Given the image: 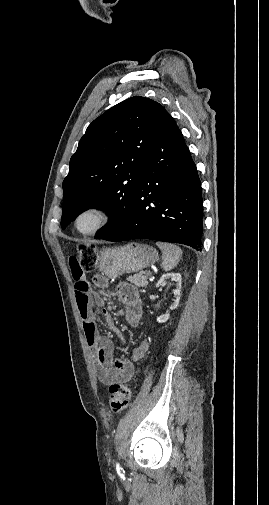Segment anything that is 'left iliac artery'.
<instances>
[{
  "mask_svg": "<svg viewBox=\"0 0 269 505\" xmlns=\"http://www.w3.org/2000/svg\"><path fill=\"white\" fill-rule=\"evenodd\" d=\"M116 470L118 474L122 475L124 473L123 469L121 468L119 463H116Z\"/></svg>",
  "mask_w": 269,
  "mask_h": 505,
  "instance_id": "1",
  "label": "left iliac artery"
}]
</instances>
